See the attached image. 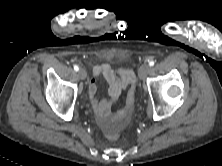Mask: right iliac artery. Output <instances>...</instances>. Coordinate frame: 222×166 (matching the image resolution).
I'll use <instances>...</instances> for the list:
<instances>
[{
  "label": "right iliac artery",
  "instance_id": "right-iliac-artery-1",
  "mask_svg": "<svg viewBox=\"0 0 222 166\" xmlns=\"http://www.w3.org/2000/svg\"><path fill=\"white\" fill-rule=\"evenodd\" d=\"M74 70L75 71H78L79 70V67L77 65H74Z\"/></svg>",
  "mask_w": 222,
  "mask_h": 166
}]
</instances>
